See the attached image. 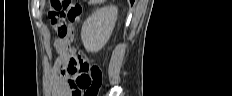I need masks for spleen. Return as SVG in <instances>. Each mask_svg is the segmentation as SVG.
Masks as SVG:
<instances>
[{
    "mask_svg": "<svg viewBox=\"0 0 232 96\" xmlns=\"http://www.w3.org/2000/svg\"><path fill=\"white\" fill-rule=\"evenodd\" d=\"M102 2H104L103 0H90L89 4H101Z\"/></svg>",
    "mask_w": 232,
    "mask_h": 96,
    "instance_id": "3e777b00",
    "label": "spleen"
}]
</instances>
